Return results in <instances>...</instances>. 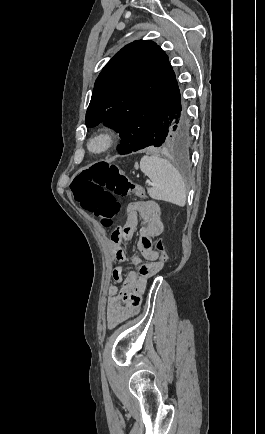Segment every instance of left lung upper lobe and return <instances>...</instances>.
I'll list each match as a JSON object with an SVG mask.
<instances>
[{
    "instance_id": "5c2ea615",
    "label": "left lung upper lobe",
    "mask_w": 265,
    "mask_h": 434,
    "mask_svg": "<svg viewBox=\"0 0 265 434\" xmlns=\"http://www.w3.org/2000/svg\"><path fill=\"white\" fill-rule=\"evenodd\" d=\"M180 90L168 56L154 42L139 40L122 48L96 80L86 126L99 123L120 137L156 127L175 106Z\"/></svg>"
}]
</instances>
